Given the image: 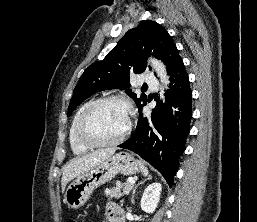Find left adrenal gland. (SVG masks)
<instances>
[{
  "instance_id": "left-adrenal-gland-1",
  "label": "left adrenal gland",
  "mask_w": 257,
  "mask_h": 222,
  "mask_svg": "<svg viewBox=\"0 0 257 222\" xmlns=\"http://www.w3.org/2000/svg\"><path fill=\"white\" fill-rule=\"evenodd\" d=\"M150 179H151V176H149V177L147 178V180H150ZM143 183H144V181L138 183V184L134 187L133 193H132V198H131L132 203H134V195H135V192H136L137 188H138L140 185H142Z\"/></svg>"
}]
</instances>
